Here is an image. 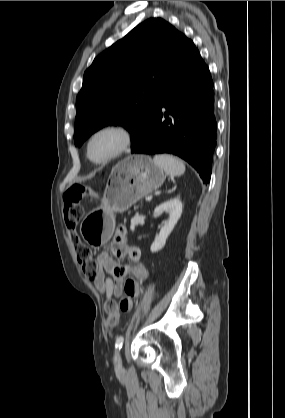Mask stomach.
I'll list each match as a JSON object with an SVG mask.
<instances>
[{
  "instance_id": "obj_1",
  "label": "stomach",
  "mask_w": 285,
  "mask_h": 418,
  "mask_svg": "<svg viewBox=\"0 0 285 418\" xmlns=\"http://www.w3.org/2000/svg\"><path fill=\"white\" fill-rule=\"evenodd\" d=\"M162 168L151 157L131 155L120 161L110 175L101 205L91 211L80 225L83 239L95 247L106 244L115 228L116 212H124L164 182Z\"/></svg>"
}]
</instances>
